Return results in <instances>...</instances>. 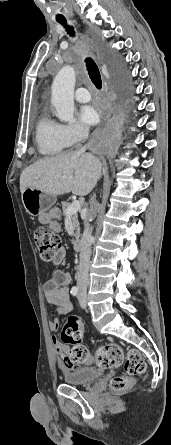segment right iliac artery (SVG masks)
Listing matches in <instances>:
<instances>
[{"instance_id":"1","label":"right iliac artery","mask_w":171,"mask_h":445,"mask_svg":"<svg viewBox=\"0 0 171 445\" xmlns=\"http://www.w3.org/2000/svg\"><path fill=\"white\" fill-rule=\"evenodd\" d=\"M71 294H72L73 296H77V294H78V288H77L76 286H73V287L71 288Z\"/></svg>"}]
</instances>
